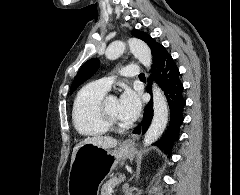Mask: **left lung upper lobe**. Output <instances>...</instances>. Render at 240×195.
<instances>
[{
	"label": "left lung upper lobe",
	"mask_w": 240,
	"mask_h": 195,
	"mask_svg": "<svg viewBox=\"0 0 240 195\" xmlns=\"http://www.w3.org/2000/svg\"><path fill=\"white\" fill-rule=\"evenodd\" d=\"M132 35L145 41L150 47L153 58L152 69L160 60L166 58L169 55L167 50L161 44L154 41V39L147 33L139 30H133ZM99 64V59L96 58L90 59L85 62L80 68L71 85L70 93H73L79 85L89 79L98 70Z\"/></svg>",
	"instance_id": "obj_1"
}]
</instances>
